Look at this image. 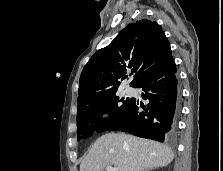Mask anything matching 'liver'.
Here are the masks:
<instances>
[{
    "instance_id": "liver-1",
    "label": "liver",
    "mask_w": 223,
    "mask_h": 171,
    "mask_svg": "<svg viewBox=\"0 0 223 171\" xmlns=\"http://www.w3.org/2000/svg\"><path fill=\"white\" fill-rule=\"evenodd\" d=\"M172 150L159 142L122 133L101 136L80 164V171H104L106 166L119 171H143L163 167L173 160Z\"/></svg>"
}]
</instances>
